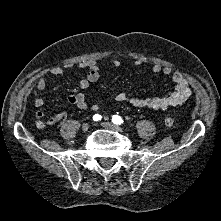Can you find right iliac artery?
Listing matches in <instances>:
<instances>
[{
	"instance_id": "82829eb1",
	"label": "right iliac artery",
	"mask_w": 221,
	"mask_h": 221,
	"mask_svg": "<svg viewBox=\"0 0 221 221\" xmlns=\"http://www.w3.org/2000/svg\"><path fill=\"white\" fill-rule=\"evenodd\" d=\"M101 115H99V114H95L94 116H93V120L94 121H99V120H101Z\"/></svg>"
}]
</instances>
